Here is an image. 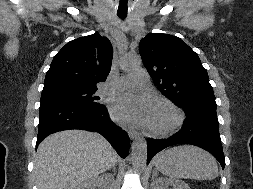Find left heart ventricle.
Listing matches in <instances>:
<instances>
[{
	"label": "left heart ventricle",
	"mask_w": 253,
	"mask_h": 189,
	"mask_svg": "<svg viewBox=\"0 0 253 189\" xmlns=\"http://www.w3.org/2000/svg\"><path fill=\"white\" fill-rule=\"evenodd\" d=\"M172 112L165 107H154L150 125L154 127L167 126L172 121Z\"/></svg>",
	"instance_id": "left-heart-ventricle-1"
}]
</instances>
